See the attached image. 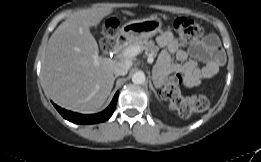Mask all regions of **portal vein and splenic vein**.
<instances>
[{
  "label": "portal vein and splenic vein",
  "instance_id": "portal-vein-and-splenic-vein-1",
  "mask_svg": "<svg viewBox=\"0 0 261 162\" xmlns=\"http://www.w3.org/2000/svg\"><path fill=\"white\" fill-rule=\"evenodd\" d=\"M141 51L142 49L139 46H129L122 51L121 56L124 58H131L137 56ZM153 61L154 57L149 55L147 62L151 64Z\"/></svg>",
  "mask_w": 261,
  "mask_h": 162
}]
</instances>
